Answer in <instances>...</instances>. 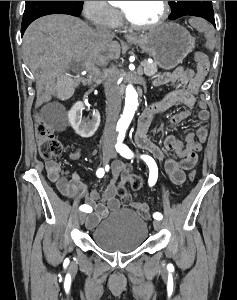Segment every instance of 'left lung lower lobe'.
I'll return each instance as SVG.
<instances>
[{
  "label": "left lung lower lobe",
  "mask_w": 237,
  "mask_h": 300,
  "mask_svg": "<svg viewBox=\"0 0 237 300\" xmlns=\"http://www.w3.org/2000/svg\"><path fill=\"white\" fill-rule=\"evenodd\" d=\"M205 19L208 20L209 22H211L214 25V27H216L215 21H214V16H209V17H206Z\"/></svg>",
  "instance_id": "0a47b994"
}]
</instances>
